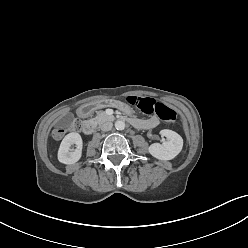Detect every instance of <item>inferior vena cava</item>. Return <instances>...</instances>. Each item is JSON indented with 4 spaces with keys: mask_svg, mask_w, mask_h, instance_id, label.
I'll return each instance as SVG.
<instances>
[{
    "mask_svg": "<svg viewBox=\"0 0 248 248\" xmlns=\"http://www.w3.org/2000/svg\"><path fill=\"white\" fill-rule=\"evenodd\" d=\"M113 127V123L112 122H105L101 125V130L102 131H110Z\"/></svg>",
    "mask_w": 248,
    "mask_h": 248,
    "instance_id": "obj_1",
    "label": "inferior vena cava"
}]
</instances>
